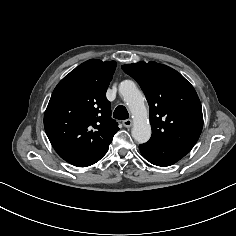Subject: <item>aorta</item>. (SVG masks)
<instances>
[{
  "instance_id": "obj_1",
  "label": "aorta",
  "mask_w": 236,
  "mask_h": 236,
  "mask_svg": "<svg viewBox=\"0 0 236 236\" xmlns=\"http://www.w3.org/2000/svg\"><path fill=\"white\" fill-rule=\"evenodd\" d=\"M119 93L130 109L134 121L132 137L138 143H145L151 137V126L147 120V108L144 97L131 80H125L119 85Z\"/></svg>"
}]
</instances>
